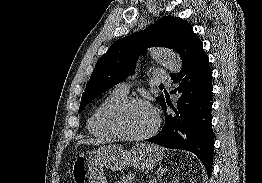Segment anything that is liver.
Segmentation results:
<instances>
[{
    "instance_id": "liver-1",
    "label": "liver",
    "mask_w": 262,
    "mask_h": 183,
    "mask_svg": "<svg viewBox=\"0 0 262 183\" xmlns=\"http://www.w3.org/2000/svg\"><path fill=\"white\" fill-rule=\"evenodd\" d=\"M113 140L110 139H103V138H92V139H82L78 141L77 147L81 144H91V145H99L112 142Z\"/></svg>"
}]
</instances>
